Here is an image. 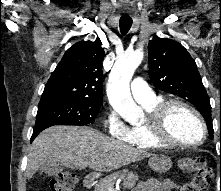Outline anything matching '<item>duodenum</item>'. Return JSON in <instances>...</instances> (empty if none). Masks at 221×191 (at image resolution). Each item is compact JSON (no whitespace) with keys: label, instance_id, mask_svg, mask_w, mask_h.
Masks as SVG:
<instances>
[{"label":"duodenum","instance_id":"duodenum-1","mask_svg":"<svg viewBox=\"0 0 221 191\" xmlns=\"http://www.w3.org/2000/svg\"><path fill=\"white\" fill-rule=\"evenodd\" d=\"M95 181H96L95 175L93 174L86 175L85 178L83 179L82 186L83 188L87 189L91 187L95 183Z\"/></svg>","mask_w":221,"mask_h":191}]
</instances>
